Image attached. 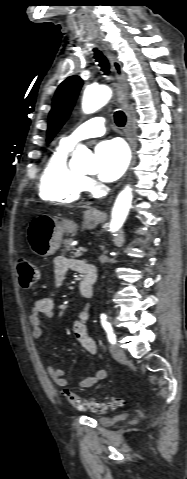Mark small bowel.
<instances>
[{"mask_svg": "<svg viewBox=\"0 0 187 479\" xmlns=\"http://www.w3.org/2000/svg\"><path fill=\"white\" fill-rule=\"evenodd\" d=\"M55 284L61 286L66 279L69 271L84 273L94 268L85 262L64 256L55 257L53 260ZM55 301L52 296H43L38 298L33 304L29 314V324L31 326V338L33 341H39L42 337L41 323L43 319L53 318ZM89 318V307L86 305L79 311L76 319L72 323V331L76 340L80 343L86 353L93 355L97 347L94 340L88 335L87 321ZM47 372L57 387H66L68 385L65 372L53 364L47 366ZM108 377L105 369H99L92 376L82 379L78 386L82 389L90 388Z\"/></svg>", "mask_w": 187, "mask_h": 479, "instance_id": "small-bowel-1", "label": "small bowel"}]
</instances>
